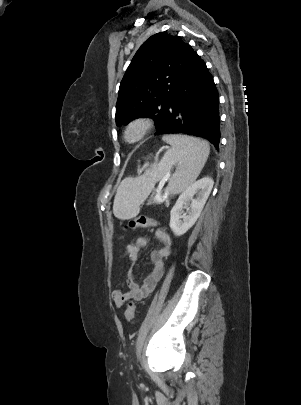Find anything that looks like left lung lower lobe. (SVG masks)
I'll return each mask as SVG.
<instances>
[{
	"mask_svg": "<svg viewBox=\"0 0 301 405\" xmlns=\"http://www.w3.org/2000/svg\"><path fill=\"white\" fill-rule=\"evenodd\" d=\"M157 135L198 136L219 149V96L206 63L195 52Z\"/></svg>",
	"mask_w": 301,
	"mask_h": 405,
	"instance_id": "0a47b994",
	"label": "left lung lower lobe"
}]
</instances>
